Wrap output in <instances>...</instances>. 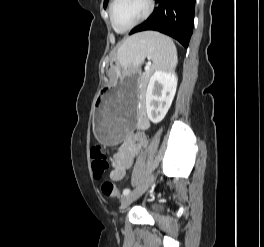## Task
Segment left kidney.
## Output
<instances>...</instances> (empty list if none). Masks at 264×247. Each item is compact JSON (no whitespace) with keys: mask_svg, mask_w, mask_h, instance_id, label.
<instances>
[{"mask_svg":"<svg viewBox=\"0 0 264 247\" xmlns=\"http://www.w3.org/2000/svg\"><path fill=\"white\" fill-rule=\"evenodd\" d=\"M178 79L174 72L156 70L146 90V110L152 123H159L168 112L174 99Z\"/></svg>","mask_w":264,"mask_h":247,"instance_id":"left-kidney-1","label":"left kidney"}]
</instances>
